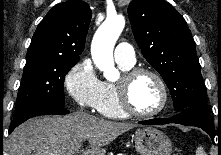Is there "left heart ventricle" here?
Segmentation results:
<instances>
[{
	"mask_svg": "<svg viewBox=\"0 0 221 155\" xmlns=\"http://www.w3.org/2000/svg\"><path fill=\"white\" fill-rule=\"evenodd\" d=\"M130 97L134 107L145 113L156 110L162 101V93L158 83L147 74L140 75L133 82Z\"/></svg>",
	"mask_w": 221,
	"mask_h": 155,
	"instance_id": "1",
	"label": "left heart ventricle"
}]
</instances>
